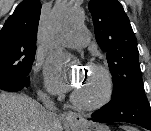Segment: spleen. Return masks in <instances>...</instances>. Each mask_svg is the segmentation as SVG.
Listing matches in <instances>:
<instances>
[{
    "mask_svg": "<svg viewBox=\"0 0 151 131\" xmlns=\"http://www.w3.org/2000/svg\"><path fill=\"white\" fill-rule=\"evenodd\" d=\"M125 131H137L135 128L130 127V126H123L122 127Z\"/></svg>",
    "mask_w": 151,
    "mask_h": 131,
    "instance_id": "1",
    "label": "spleen"
}]
</instances>
